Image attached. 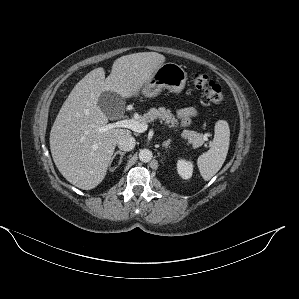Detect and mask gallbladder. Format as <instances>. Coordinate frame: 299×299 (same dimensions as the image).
Returning <instances> with one entry per match:
<instances>
[{"instance_id": "gallbladder-1", "label": "gallbladder", "mask_w": 299, "mask_h": 299, "mask_svg": "<svg viewBox=\"0 0 299 299\" xmlns=\"http://www.w3.org/2000/svg\"><path fill=\"white\" fill-rule=\"evenodd\" d=\"M98 107L108 118H121L125 111V100L112 91L103 92L97 101Z\"/></svg>"}]
</instances>
